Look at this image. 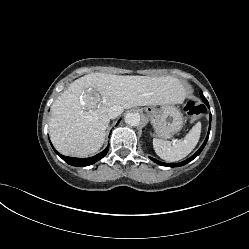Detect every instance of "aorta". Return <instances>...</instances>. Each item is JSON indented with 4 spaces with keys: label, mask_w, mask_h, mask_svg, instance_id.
Listing matches in <instances>:
<instances>
[{
    "label": "aorta",
    "mask_w": 249,
    "mask_h": 249,
    "mask_svg": "<svg viewBox=\"0 0 249 249\" xmlns=\"http://www.w3.org/2000/svg\"><path fill=\"white\" fill-rule=\"evenodd\" d=\"M125 123L129 126H138L140 123V116L137 113H127L125 116Z\"/></svg>",
    "instance_id": "762f6f07"
}]
</instances>
